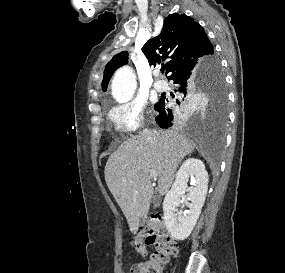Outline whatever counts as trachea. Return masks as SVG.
<instances>
[{"instance_id":"obj_1","label":"trachea","mask_w":285,"mask_h":273,"mask_svg":"<svg viewBox=\"0 0 285 273\" xmlns=\"http://www.w3.org/2000/svg\"><path fill=\"white\" fill-rule=\"evenodd\" d=\"M165 68H161L160 71L161 73H164Z\"/></svg>"}]
</instances>
